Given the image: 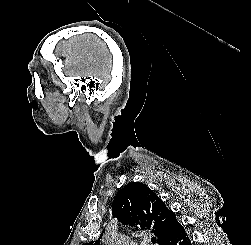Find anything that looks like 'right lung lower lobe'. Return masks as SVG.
I'll return each mask as SVG.
<instances>
[{
	"mask_svg": "<svg viewBox=\"0 0 251 245\" xmlns=\"http://www.w3.org/2000/svg\"><path fill=\"white\" fill-rule=\"evenodd\" d=\"M162 245H191V242L182 227L172 238L166 240Z\"/></svg>",
	"mask_w": 251,
	"mask_h": 245,
	"instance_id": "obj_1",
	"label": "right lung lower lobe"
}]
</instances>
